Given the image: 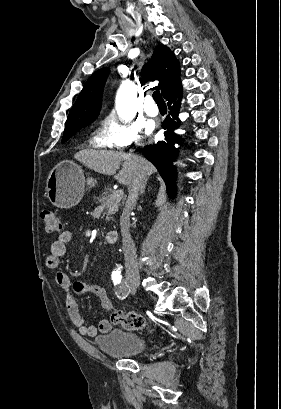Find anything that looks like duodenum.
<instances>
[{"mask_svg":"<svg viewBox=\"0 0 281 409\" xmlns=\"http://www.w3.org/2000/svg\"><path fill=\"white\" fill-rule=\"evenodd\" d=\"M119 238V234L116 231H109L105 235L106 242L108 244H116Z\"/></svg>","mask_w":281,"mask_h":409,"instance_id":"1","label":"duodenum"}]
</instances>
